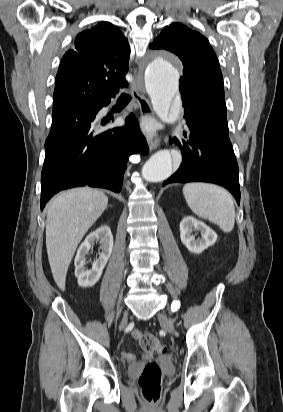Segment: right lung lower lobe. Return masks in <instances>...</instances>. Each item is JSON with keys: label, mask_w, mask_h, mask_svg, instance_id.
<instances>
[{"label": "right lung lower lobe", "mask_w": 283, "mask_h": 412, "mask_svg": "<svg viewBox=\"0 0 283 412\" xmlns=\"http://www.w3.org/2000/svg\"><path fill=\"white\" fill-rule=\"evenodd\" d=\"M112 97L52 122L45 142L41 210L55 193L71 187L88 184L119 192L129 156L148 152L133 114L126 117L124 127L102 130L96 122L99 110Z\"/></svg>", "instance_id": "1"}]
</instances>
